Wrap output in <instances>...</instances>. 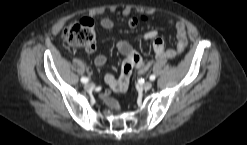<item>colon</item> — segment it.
<instances>
[{
  "label": "colon",
  "instance_id": "obj_1",
  "mask_svg": "<svg viewBox=\"0 0 247 145\" xmlns=\"http://www.w3.org/2000/svg\"><path fill=\"white\" fill-rule=\"evenodd\" d=\"M139 19L133 18L129 21L130 26H136ZM63 41L72 47H88L95 41L94 22L90 18H81L68 25L62 32ZM138 62V57L133 55L129 60L123 62L121 73L124 79H128L133 63Z\"/></svg>",
  "mask_w": 247,
  "mask_h": 145
}]
</instances>
